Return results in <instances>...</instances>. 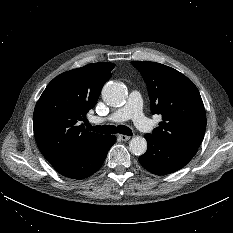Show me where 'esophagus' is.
Returning <instances> with one entry per match:
<instances>
[{"mask_svg":"<svg viewBox=\"0 0 233 233\" xmlns=\"http://www.w3.org/2000/svg\"><path fill=\"white\" fill-rule=\"evenodd\" d=\"M118 138L122 141H128L131 137L123 134H119Z\"/></svg>","mask_w":233,"mask_h":233,"instance_id":"34e87169","label":"esophagus"}]
</instances>
